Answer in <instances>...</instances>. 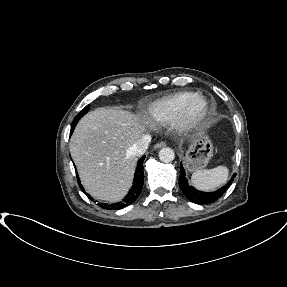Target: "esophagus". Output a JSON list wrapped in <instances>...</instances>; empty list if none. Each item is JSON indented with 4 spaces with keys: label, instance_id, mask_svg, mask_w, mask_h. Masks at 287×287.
I'll return each instance as SVG.
<instances>
[{
    "label": "esophagus",
    "instance_id": "34e87169",
    "mask_svg": "<svg viewBox=\"0 0 287 287\" xmlns=\"http://www.w3.org/2000/svg\"><path fill=\"white\" fill-rule=\"evenodd\" d=\"M164 146H166V142L161 141V142H158L154 145V149H159V148H162Z\"/></svg>",
    "mask_w": 287,
    "mask_h": 287
}]
</instances>
